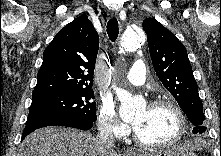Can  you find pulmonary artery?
<instances>
[{"instance_id":"obj_1","label":"pulmonary artery","mask_w":221,"mask_h":156,"mask_svg":"<svg viewBox=\"0 0 221 156\" xmlns=\"http://www.w3.org/2000/svg\"><path fill=\"white\" fill-rule=\"evenodd\" d=\"M125 78L133 85H142L146 80V68L144 62L142 60H137Z\"/></svg>"}]
</instances>
